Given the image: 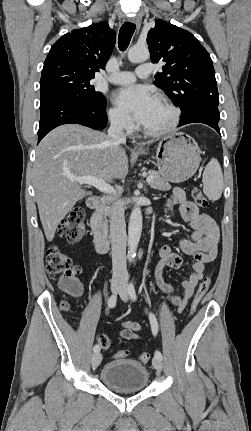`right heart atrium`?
Returning <instances> with one entry per match:
<instances>
[{
	"instance_id": "right-heart-atrium-1",
	"label": "right heart atrium",
	"mask_w": 251,
	"mask_h": 431,
	"mask_svg": "<svg viewBox=\"0 0 251 431\" xmlns=\"http://www.w3.org/2000/svg\"><path fill=\"white\" fill-rule=\"evenodd\" d=\"M108 119L113 127L118 130L130 133L134 129L132 119L122 110L112 107L108 111Z\"/></svg>"
}]
</instances>
